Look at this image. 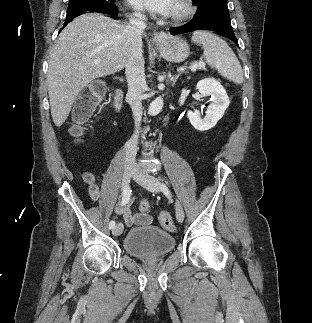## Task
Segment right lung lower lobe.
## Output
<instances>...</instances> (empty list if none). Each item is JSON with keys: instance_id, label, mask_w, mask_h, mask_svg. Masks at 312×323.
I'll use <instances>...</instances> for the list:
<instances>
[{"instance_id": "1", "label": "right lung lower lobe", "mask_w": 312, "mask_h": 323, "mask_svg": "<svg viewBox=\"0 0 312 323\" xmlns=\"http://www.w3.org/2000/svg\"><path fill=\"white\" fill-rule=\"evenodd\" d=\"M92 12H99V13H106L109 14L111 18L117 19L118 18V11L115 8H109V9H92ZM82 13L79 14H74L72 16H68L66 17L65 23L63 28L72 21L73 18H75L76 16L81 15Z\"/></svg>"}]
</instances>
